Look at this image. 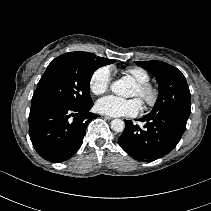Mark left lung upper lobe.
I'll return each instance as SVG.
<instances>
[{
	"mask_svg": "<svg viewBox=\"0 0 211 211\" xmlns=\"http://www.w3.org/2000/svg\"><path fill=\"white\" fill-rule=\"evenodd\" d=\"M136 64L150 71L157 79L159 96L149 114L166 113L187 121L191 95L184 75L176 67L162 61H139Z\"/></svg>",
	"mask_w": 211,
	"mask_h": 211,
	"instance_id": "5c2ea615",
	"label": "left lung upper lobe"
}]
</instances>
